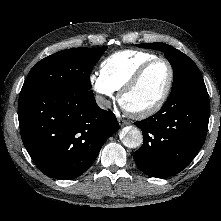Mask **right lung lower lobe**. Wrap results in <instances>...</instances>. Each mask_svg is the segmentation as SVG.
<instances>
[{"label": "right lung lower lobe", "instance_id": "right-lung-lower-lobe-1", "mask_svg": "<svg viewBox=\"0 0 221 221\" xmlns=\"http://www.w3.org/2000/svg\"><path fill=\"white\" fill-rule=\"evenodd\" d=\"M22 141L45 175L73 179L94 162L119 129L112 112L98 107L92 91L31 94L19 98Z\"/></svg>", "mask_w": 221, "mask_h": 221}]
</instances>
